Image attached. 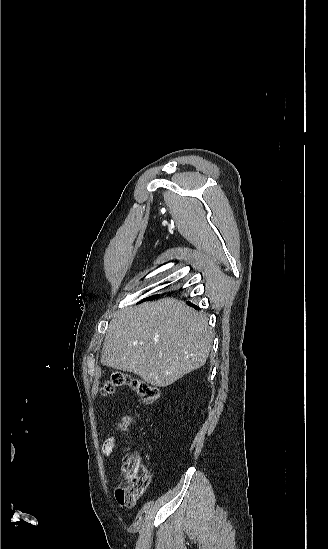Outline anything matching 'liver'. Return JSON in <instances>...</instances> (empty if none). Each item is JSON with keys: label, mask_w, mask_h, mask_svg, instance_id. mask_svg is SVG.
<instances>
[{"label": "liver", "mask_w": 328, "mask_h": 549, "mask_svg": "<svg viewBox=\"0 0 328 549\" xmlns=\"http://www.w3.org/2000/svg\"><path fill=\"white\" fill-rule=\"evenodd\" d=\"M212 347L203 313L183 301L160 299L114 313L101 363L168 387L205 365Z\"/></svg>", "instance_id": "obj_1"}]
</instances>
